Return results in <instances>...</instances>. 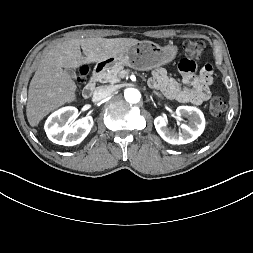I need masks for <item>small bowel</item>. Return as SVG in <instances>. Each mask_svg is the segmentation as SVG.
<instances>
[{"label": "small bowel", "instance_id": "small-bowel-1", "mask_svg": "<svg viewBox=\"0 0 253 253\" xmlns=\"http://www.w3.org/2000/svg\"><path fill=\"white\" fill-rule=\"evenodd\" d=\"M200 64L198 58H183L179 61L176 71L182 76L183 85L171 78L164 68L153 71L149 85L170 100L200 105L210 99L209 87L213 82L211 63Z\"/></svg>", "mask_w": 253, "mask_h": 253}]
</instances>
